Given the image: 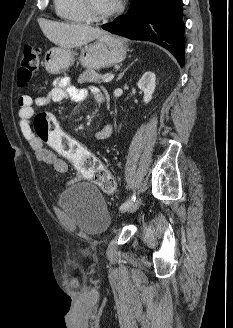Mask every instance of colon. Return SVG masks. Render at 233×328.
I'll list each match as a JSON object with an SVG mask.
<instances>
[{
	"instance_id": "colon-1",
	"label": "colon",
	"mask_w": 233,
	"mask_h": 328,
	"mask_svg": "<svg viewBox=\"0 0 233 328\" xmlns=\"http://www.w3.org/2000/svg\"><path fill=\"white\" fill-rule=\"evenodd\" d=\"M38 63V50L31 45H26L17 73L19 86L24 87L32 80ZM34 129L36 136L44 144L70 161L84 177L92 180L103 192L107 194L116 192V182L111 173L94 154L64 132L53 115L46 112L37 114L34 119Z\"/></svg>"
}]
</instances>
